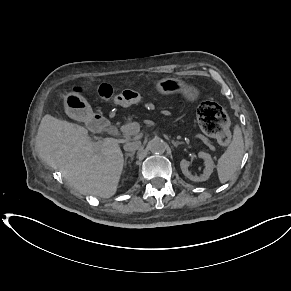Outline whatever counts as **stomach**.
I'll return each instance as SVG.
<instances>
[{
	"label": "stomach",
	"mask_w": 291,
	"mask_h": 291,
	"mask_svg": "<svg viewBox=\"0 0 291 291\" xmlns=\"http://www.w3.org/2000/svg\"><path fill=\"white\" fill-rule=\"evenodd\" d=\"M156 89L163 95L182 93L186 100L194 102L199 97V90L187 85L178 78H165L157 82ZM64 106L67 114L76 119H84L91 113L88 102L79 94L68 93L64 96Z\"/></svg>",
	"instance_id": "stomach-1"
}]
</instances>
